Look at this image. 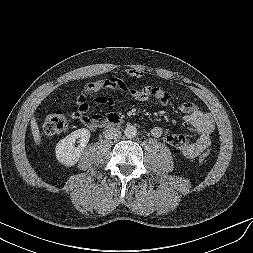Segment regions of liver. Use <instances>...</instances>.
Segmentation results:
<instances>
[{
    "instance_id": "liver-1",
    "label": "liver",
    "mask_w": 253,
    "mask_h": 253,
    "mask_svg": "<svg viewBox=\"0 0 253 253\" xmlns=\"http://www.w3.org/2000/svg\"><path fill=\"white\" fill-rule=\"evenodd\" d=\"M30 125H31L33 139H34L36 145H40L41 144V135H40L38 124H37L36 119L34 117H32Z\"/></svg>"
}]
</instances>
